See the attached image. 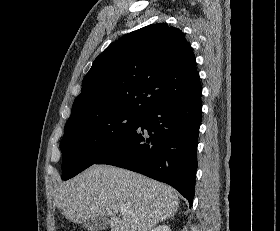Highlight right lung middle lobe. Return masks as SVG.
<instances>
[{"label":"right lung middle lobe","mask_w":280,"mask_h":231,"mask_svg":"<svg viewBox=\"0 0 280 231\" xmlns=\"http://www.w3.org/2000/svg\"><path fill=\"white\" fill-rule=\"evenodd\" d=\"M142 115L114 114L97 118H73L65 125L60 149L61 178L68 180L116 147L136 129Z\"/></svg>","instance_id":"right-lung-middle-lobe-1"}]
</instances>
